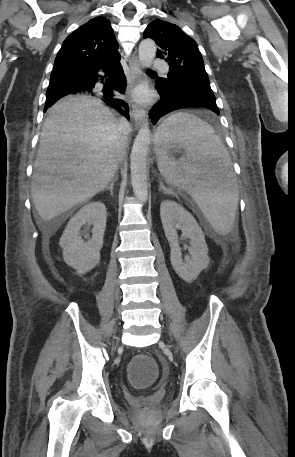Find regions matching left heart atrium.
Listing matches in <instances>:
<instances>
[{"label": "left heart atrium", "mask_w": 295, "mask_h": 457, "mask_svg": "<svg viewBox=\"0 0 295 457\" xmlns=\"http://www.w3.org/2000/svg\"><path fill=\"white\" fill-rule=\"evenodd\" d=\"M134 97L140 102H146L149 99V93L144 86H140L134 91Z\"/></svg>", "instance_id": "39dd6f15"}]
</instances>
